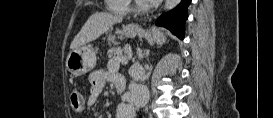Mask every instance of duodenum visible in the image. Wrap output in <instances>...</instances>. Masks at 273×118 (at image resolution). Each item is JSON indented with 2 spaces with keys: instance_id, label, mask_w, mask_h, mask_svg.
Instances as JSON below:
<instances>
[{
  "instance_id": "410a0bca",
  "label": "duodenum",
  "mask_w": 273,
  "mask_h": 118,
  "mask_svg": "<svg viewBox=\"0 0 273 118\" xmlns=\"http://www.w3.org/2000/svg\"><path fill=\"white\" fill-rule=\"evenodd\" d=\"M114 84L118 92H123L126 88L125 80H116Z\"/></svg>"
}]
</instances>
